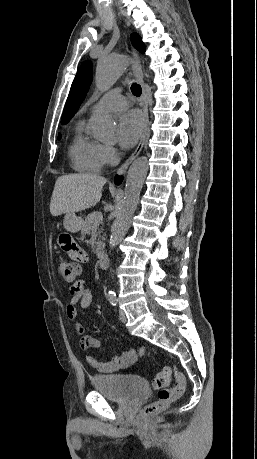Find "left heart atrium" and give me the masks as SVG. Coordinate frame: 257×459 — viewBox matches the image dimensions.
I'll return each instance as SVG.
<instances>
[{"label": "left heart atrium", "mask_w": 257, "mask_h": 459, "mask_svg": "<svg viewBox=\"0 0 257 459\" xmlns=\"http://www.w3.org/2000/svg\"><path fill=\"white\" fill-rule=\"evenodd\" d=\"M144 122L137 111L123 114L118 122L117 138L122 148H131L138 141L143 131Z\"/></svg>", "instance_id": "1"}]
</instances>
